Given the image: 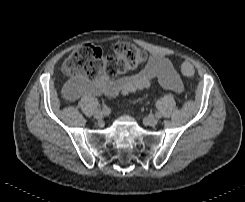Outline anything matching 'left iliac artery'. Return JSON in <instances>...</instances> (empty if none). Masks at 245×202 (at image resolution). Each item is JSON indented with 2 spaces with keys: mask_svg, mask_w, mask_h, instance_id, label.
Here are the masks:
<instances>
[{
  "mask_svg": "<svg viewBox=\"0 0 245 202\" xmlns=\"http://www.w3.org/2000/svg\"><path fill=\"white\" fill-rule=\"evenodd\" d=\"M156 117H157V118H160V117H161V113H160V112H157V113H156Z\"/></svg>",
  "mask_w": 245,
  "mask_h": 202,
  "instance_id": "left-iliac-artery-1",
  "label": "left iliac artery"
}]
</instances>
